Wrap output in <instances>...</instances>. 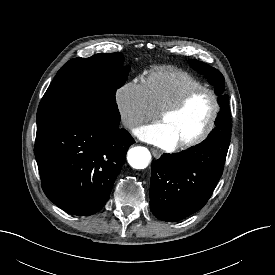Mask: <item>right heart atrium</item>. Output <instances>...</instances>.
Returning <instances> with one entry per match:
<instances>
[{
	"instance_id": "d8ad5b80",
	"label": "right heart atrium",
	"mask_w": 275,
	"mask_h": 275,
	"mask_svg": "<svg viewBox=\"0 0 275 275\" xmlns=\"http://www.w3.org/2000/svg\"><path fill=\"white\" fill-rule=\"evenodd\" d=\"M115 101L123 124L130 129L150 120L156 113L142 82L123 84L116 92Z\"/></svg>"
}]
</instances>
